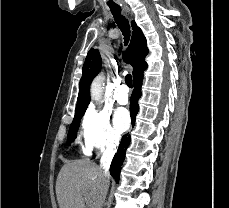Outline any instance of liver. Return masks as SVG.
<instances>
[{
	"instance_id": "obj_1",
	"label": "liver",
	"mask_w": 229,
	"mask_h": 208,
	"mask_svg": "<svg viewBox=\"0 0 229 208\" xmlns=\"http://www.w3.org/2000/svg\"><path fill=\"white\" fill-rule=\"evenodd\" d=\"M104 184L100 168L90 160H72L61 168L56 182V196L59 208H101ZM85 196V200L83 198Z\"/></svg>"
}]
</instances>
